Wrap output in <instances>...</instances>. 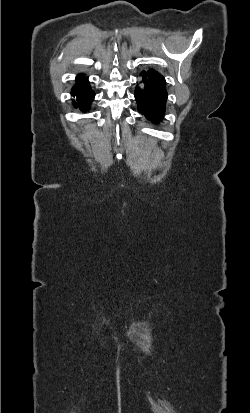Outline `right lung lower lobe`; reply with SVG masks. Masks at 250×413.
I'll use <instances>...</instances> for the list:
<instances>
[{
	"label": "right lung lower lobe",
	"instance_id": "obj_1",
	"mask_svg": "<svg viewBox=\"0 0 250 413\" xmlns=\"http://www.w3.org/2000/svg\"><path fill=\"white\" fill-rule=\"evenodd\" d=\"M71 94L76 97V100L73 101L75 107L78 106L83 113L89 111L95 94L92 91L86 77H78L77 83L72 88Z\"/></svg>",
	"mask_w": 250,
	"mask_h": 413
}]
</instances>
